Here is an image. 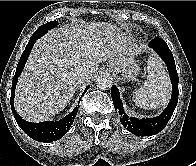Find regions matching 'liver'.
I'll return each instance as SVG.
<instances>
[{
    "label": "liver",
    "mask_w": 196,
    "mask_h": 166,
    "mask_svg": "<svg viewBox=\"0 0 196 166\" xmlns=\"http://www.w3.org/2000/svg\"><path fill=\"white\" fill-rule=\"evenodd\" d=\"M120 30L104 22L75 23L53 29L36 41L15 90L17 113L27 121L40 122L61 112L78 89L74 74L87 72L92 80L99 63L134 56Z\"/></svg>",
    "instance_id": "obj_1"
}]
</instances>
